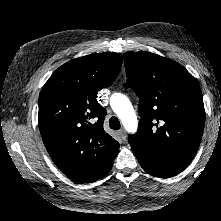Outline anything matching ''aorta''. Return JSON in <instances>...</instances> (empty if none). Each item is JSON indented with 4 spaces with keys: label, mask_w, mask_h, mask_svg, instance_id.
<instances>
[{
    "label": "aorta",
    "mask_w": 221,
    "mask_h": 221,
    "mask_svg": "<svg viewBox=\"0 0 221 221\" xmlns=\"http://www.w3.org/2000/svg\"><path fill=\"white\" fill-rule=\"evenodd\" d=\"M110 106L129 133H135L138 120L135 110L128 97L121 93H113L110 97Z\"/></svg>",
    "instance_id": "aorta-1"
}]
</instances>
